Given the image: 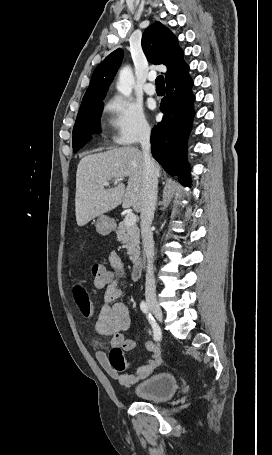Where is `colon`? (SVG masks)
<instances>
[{"instance_id": "colon-1", "label": "colon", "mask_w": 272, "mask_h": 455, "mask_svg": "<svg viewBox=\"0 0 272 455\" xmlns=\"http://www.w3.org/2000/svg\"><path fill=\"white\" fill-rule=\"evenodd\" d=\"M92 285L94 289L100 290L105 288L110 279L112 272L104 264H94L91 268ZM109 361L111 365L118 369H125L124 350L120 346H114L110 352Z\"/></svg>"}]
</instances>
